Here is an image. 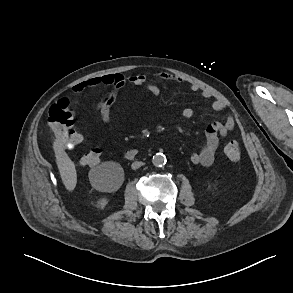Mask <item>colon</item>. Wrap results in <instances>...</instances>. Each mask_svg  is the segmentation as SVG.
I'll list each match as a JSON object with an SVG mask.
<instances>
[{"label": "colon", "instance_id": "obj_1", "mask_svg": "<svg viewBox=\"0 0 293 293\" xmlns=\"http://www.w3.org/2000/svg\"><path fill=\"white\" fill-rule=\"evenodd\" d=\"M48 127L54 134L56 142L65 148L76 147L83 142V137L74 128L73 111L67 99L62 98L54 103L48 112ZM100 149L92 148L81 157V164L94 166L98 163ZM224 153L228 159L236 161L240 158V148L236 140H229L224 145Z\"/></svg>", "mask_w": 293, "mask_h": 293}]
</instances>
